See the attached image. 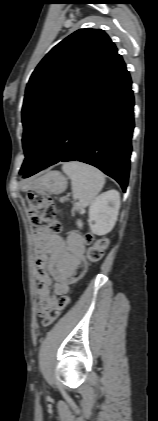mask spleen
I'll use <instances>...</instances> for the list:
<instances>
[{"mask_svg":"<svg viewBox=\"0 0 158 421\" xmlns=\"http://www.w3.org/2000/svg\"><path fill=\"white\" fill-rule=\"evenodd\" d=\"M62 170L71 180L73 199L78 200L73 210L92 204L105 184L104 174L97 168L78 161L64 163ZM78 225H82L80 221Z\"/></svg>","mask_w":158,"mask_h":421,"instance_id":"1","label":"spleen"}]
</instances>
